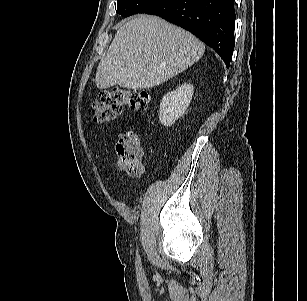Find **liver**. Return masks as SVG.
Segmentation results:
<instances>
[{
	"mask_svg": "<svg viewBox=\"0 0 307 301\" xmlns=\"http://www.w3.org/2000/svg\"><path fill=\"white\" fill-rule=\"evenodd\" d=\"M204 50L190 32L156 16L138 15L115 34L95 83L99 89L155 87L193 65Z\"/></svg>",
	"mask_w": 307,
	"mask_h": 301,
	"instance_id": "liver-1",
	"label": "liver"
}]
</instances>
